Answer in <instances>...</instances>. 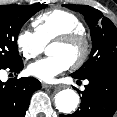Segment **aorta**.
Wrapping results in <instances>:
<instances>
[{"mask_svg": "<svg viewBox=\"0 0 117 117\" xmlns=\"http://www.w3.org/2000/svg\"><path fill=\"white\" fill-rule=\"evenodd\" d=\"M79 104V96L72 89H64L55 95V106L56 108L64 113L70 114L75 111Z\"/></svg>", "mask_w": 117, "mask_h": 117, "instance_id": "1", "label": "aorta"}]
</instances>
